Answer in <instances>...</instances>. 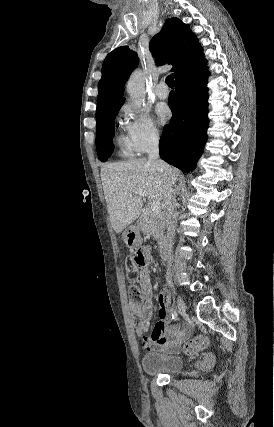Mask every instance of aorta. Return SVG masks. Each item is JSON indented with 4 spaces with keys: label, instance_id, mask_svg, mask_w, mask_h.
<instances>
[{
    "label": "aorta",
    "instance_id": "aorta-1",
    "mask_svg": "<svg viewBox=\"0 0 274 427\" xmlns=\"http://www.w3.org/2000/svg\"><path fill=\"white\" fill-rule=\"evenodd\" d=\"M126 88L132 103L139 107L145 101L146 96L145 74L140 70L133 72Z\"/></svg>",
    "mask_w": 274,
    "mask_h": 427
}]
</instances>
